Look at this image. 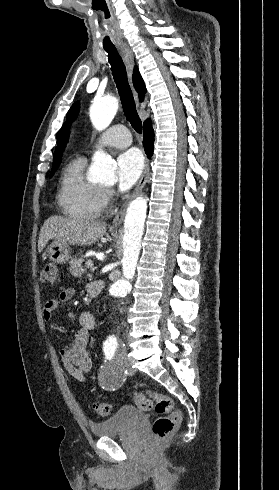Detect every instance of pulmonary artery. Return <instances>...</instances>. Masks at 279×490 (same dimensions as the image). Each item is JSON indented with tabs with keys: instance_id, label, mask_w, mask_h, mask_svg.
<instances>
[{
	"instance_id": "1",
	"label": "pulmonary artery",
	"mask_w": 279,
	"mask_h": 490,
	"mask_svg": "<svg viewBox=\"0 0 279 490\" xmlns=\"http://www.w3.org/2000/svg\"><path fill=\"white\" fill-rule=\"evenodd\" d=\"M127 134L126 127L122 125L113 126L97 138L92 148L95 149L104 146L126 148L131 143V139Z\"/></svg>"
}]
</instances>
